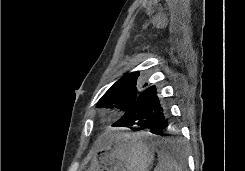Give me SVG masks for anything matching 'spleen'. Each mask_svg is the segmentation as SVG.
<instances>
[{
	"label": "spleen",
	"mask_w": 245,
	"mask_h": 171,
	"mask_svg": "<svg viewBox=\"0 0 245 171\" xmlns=\"http://www.w3.org/2000/svg\"><path fill=\"white\" fill-rule=\"evenodd\" d=\"M158 157V165L154 171H182V167L167 152L161 151Z\"/></svg>",
	"instance_id": "1"
}]
</instances>
